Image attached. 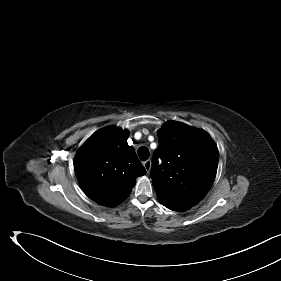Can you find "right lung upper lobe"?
Instances as JSON below:
<instances>
[{"instance_id":"obj_1","label":"right lung upper lobe","mask_w":281,"mask_h":281,"mask_svg":"<svg viewBox=\"0 0 281 281\" xmlns=\"http://www.w3.org/2000/svg\"><path fill=\"white\" fill-rule=\"evenodd\" d=\"M129 132L109 126L95 132L80 148L74 169L85 194L96 203L116 206L130 194L136 178L146 174Z\"/></svg>"}]
</instances>
